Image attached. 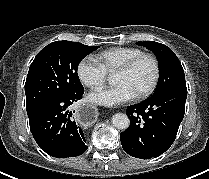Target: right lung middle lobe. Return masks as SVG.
<instances>
[{"mask_svg": "<svg viewBox=\"0 0 209 179\" xmlns=\"http://www.w3.org/2000/svg\"><path fill=\"white\" fill-rule=\"evenodd\" d=\"M97 48L71 41L44 47L31 63L25 83L28 116L51 100L84 92L77 68Z\"/></svg>", "mask_w": 209, "mask_h": 179, "instance_id": "dd1d6c3e", "label": "right lung middle lobe"}]
</instances>
